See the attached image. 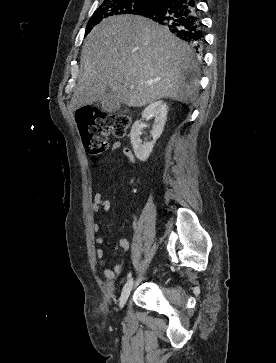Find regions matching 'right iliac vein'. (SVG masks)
I'll use <instances>...</instances> for the list:
<instances>
[{
  "mask_svg": "<svg viewBox=\"0 0 276 363\" xmlns=\"http://www.w3.org/2000/svg\"><path fill=\"white\" fill-rule=\"evenodd\" d=\"M133 289V279H129L126 284L124 285L122 292H121V296H120V301H119V306L122 308L124 306V304L126 303L131 291Z\"/></svg>",
  "mask_w": 276,
  "mask_h": 363,
  "instance_id": "obj_1",
  "label": "right iliac vein"
}]
</instances>
